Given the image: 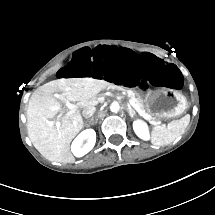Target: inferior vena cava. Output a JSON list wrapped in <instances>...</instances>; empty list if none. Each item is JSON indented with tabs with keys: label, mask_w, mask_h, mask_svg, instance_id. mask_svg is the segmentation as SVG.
<instances>
[{
	"label": "inferior vena cava",
	"mask_w": 215,
	"mask_h": 215,
	"mask_svg": "<svg viewBox=\"0 0 215 215\" xmlns=\"http://www.w3.org/2000/svg\"><path fill=\"white\" fill-rule=\"evenodd\" d=\"M96 112V107L94 105H87L82 110V115L84 118H90Z\"/></svg>",
	"instance_id": "inferior-vena-cava-1"
}]
</instances>
